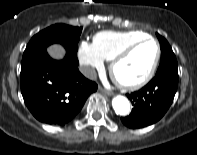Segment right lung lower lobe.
<instances>
[{"mask_svg":"<svg viewBox=\"0 0 197 155\" xmlns=\"http://www.w3.org/2000/svg\"><path fill=\"white\" fill-rule=\"evenodd\" d=\"M21 93L36 119L52 125H65L83 107L97 84L78 70L77 55L68 53L63 60L47 52L21 67Z\"/></svg>","mask_w":197,"mask_h":155,"instance_id":"1","label":"right lung lower lobe"}]
</instances>
